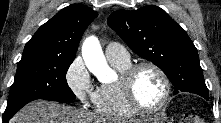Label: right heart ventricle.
I'll use <instances>...</instances> for the list:
<instances>
[{"instance_id":"right-heart-ventricle-1","label":"right heart ventricle","mask_w":221,"mask_h":123,"mask_svg":"<svg viewBox=\"0 0 221 123\" xmlns=\"http://www.w3.org/2000/svg\"><path fill=\"white\" fill-rule=\"evenodd\" d=\"M110 63L120 75L131 66L130 61H110ZM94 107L99 115L110 119H128L138 114L124 99L119 79L111 83L102 84L97 89Z\"/></svg>"}]
</instances>
